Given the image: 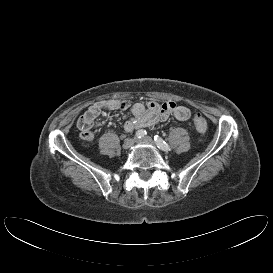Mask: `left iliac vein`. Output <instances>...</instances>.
I'll use <instances>...</instances> for the list:
<instances>
[{
  "instance_id": "4c4485c4",
  "label": "left iliac vein",
  "mask_w": 273,
  "mask_h": 273,
  "mask_svg": "<svg viewBox=\"0 0 273 273\" xmlns=\"http://www.w3.org/2000/svg\"><path fill=\"white\" fill-rule=\"evenodd\" d=\"M136 142L137 143H145V144L155 145L154 141L150 137H145V138H142V139H137Z\"/></svg>"
}]
</instances>
